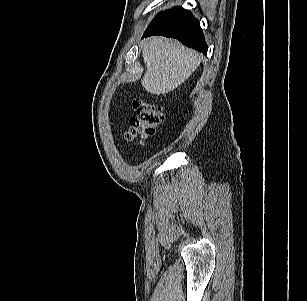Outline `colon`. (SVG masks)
I'll list each match as a JSON object with an SVG mask.
<instances>
[{
    "mask_svg": "<svg viewBox=\"0 0 307 301\" xmlns=\"http://www.w3.org/2000/svg\"><path fill=\"white\" fill-rule=\"evenodd\" d=\"M134 109L137 115L130 120L127 138L134 140L151 136L162 121L161 107L152 103L136 102Z\"/></svg>",
    "mask_w": 307,
    "mask_h": 301,
    "instance_id": "1",
    "label": "colon"
}]
</instances>
